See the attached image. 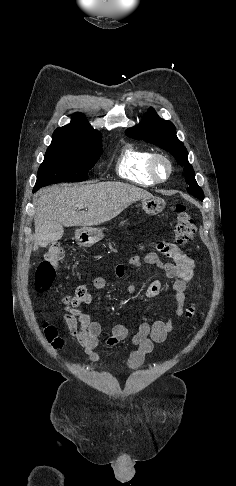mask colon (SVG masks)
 I'll list each match as a JSON object with an SVG mask.
<instances>
[{
    "label": "colon",
    "mask_w": 236,
    "mask_h": 486,
    "mask_svg": "<svg viewBox=\"0 0 236 486\" xmlns=\"http://www.w3.org/2000/svg\"><path fill=\"white\" fill-rule=\"evenodd\" d=\"M177 218L174 228L175 241L179 245L189 243L195 234V224L186 207L182 204L177 205ZM65 258V251L61 245L53 243L48 246L44 259L38 265L35 275V287L38 292L48 290L57 274L58 265ZM91 296L87 286L80 285L76 288L73 296H66L64 302L72 306L86 304ZM45 335L48 341L55 347L62 346V339L58 336V331L54 326L45 328Z\"/></svg>",
    "instance_id": "obj_1"
}]
</instances>
